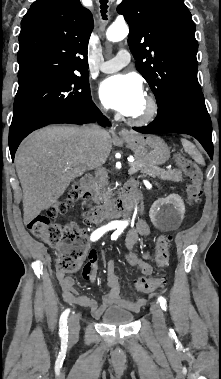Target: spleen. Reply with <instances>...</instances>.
<instances>
[{
  "label": "spleen",
  "mask_w": 221,
  "mask_h": 379,
  "mask_svg": "<svg viewBox=\"0 0 221 379\" xmlns=\"http://www.w3.org/2000/svg\"><path fill=\"white\" fill-rule=\"evenodd\" d=\"M181 142L185 152H187L198 164L204 165V159L196 149L195 145L186 139H182Z\"/></svg>",
  "instance_id": "obj_1"
}]
</instances>
